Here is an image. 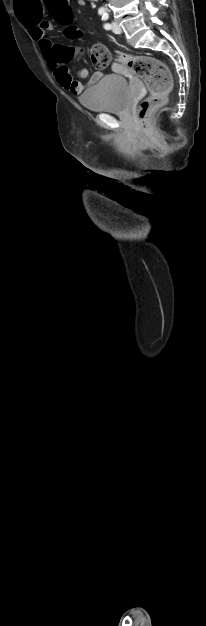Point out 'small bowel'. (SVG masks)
Wrapping results in <instances>:
<instances>
[{"mask_svg": "<svg viewBox=\"0 0 206 626\" xmlns=\"http://www.w3.org/2000/svg\"><path fill=\"white\" fill-rule=\"evenodd\" d=\"M77 4L79 6H84L85 0H77ZM27 26L29 27V33L31 38L38 43L46 62L53 69L56 81L65 90L71 92L74 95H79L87 87L98 82L99 79L102 77L101 72H95L94 74H92L87 83H83L79 80H74L70 75L66 65L57 60L56 47L52 43V41L46 37V32L52 29L51 23L48 21H39L34 24L28 23ZM88 74L89 71L86 67L82 66L79 68L78 77L80 79L87 78Z\"/></svg>", "mask_w": 206, "mask_h": 626, "instance_id": "obj_1", "label": "small bowel"}]
</instances>
